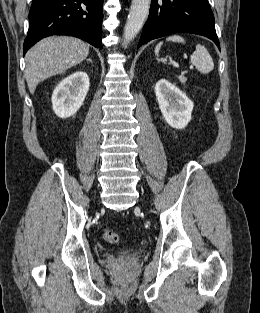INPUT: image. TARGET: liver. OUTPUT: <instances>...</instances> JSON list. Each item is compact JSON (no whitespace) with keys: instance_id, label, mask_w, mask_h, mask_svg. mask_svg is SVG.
Here are the masks:
<instances>
[{"instance_id":"6515ba94","label":"liver","mask_w":260,"mask_h":313,"mask_svg":"<svg viewBox=\"0 0 260 313\" xmlns=\"http://www.w3.org/2000/svg\"><path fill=\"white\" fill-rule=\"evenodd\" d=\"M89 54V45L69 36L47 37L26 54L25 78L31 94L44 79L81 63Z\"/></svg>"}]
</instances>
